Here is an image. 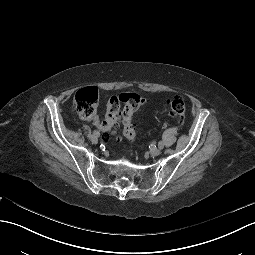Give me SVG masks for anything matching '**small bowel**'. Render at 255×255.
<instances>
[{"label": "small bowel", "instance_id": "1", "mask_svg": "<svg viewBox=\"0 0 255 255\" xmlns=\"http://www.w3.org/2000/svg\"><path fill=\"white\" fill-rule=\"evenodd\" d=\"M93 124L96 125V126H99V120L97 118H95L93 120Z\"/></svg>", "mask_w": 255, "mask_h": 255}]
</instances>
